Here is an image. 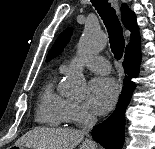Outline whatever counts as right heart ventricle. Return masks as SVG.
Returning <instances> with one entry per match:
<instances>
[{"mask_svg": "<svg viewBox=\"0 0 155 149\" xmlns=\"http://www.w3.org/2000/svg\"><path fill=\"white\" fill-rule=\"evenodd\" d=\"M60 71L62 70L60 69ZM54 84L55 78H51L43 86L36 111V120L44 125L59 127L68 122V100L55 91Z\"/></svg>", "mask_w": 155, "mask_h": 149, "instance_id": "e07e8e85", "label": "right heart ventricle"}]
</instances>
